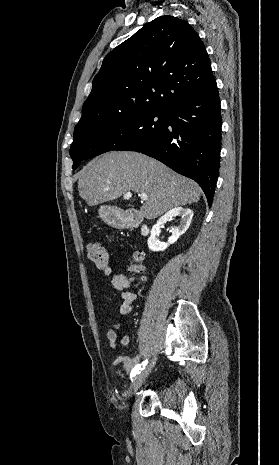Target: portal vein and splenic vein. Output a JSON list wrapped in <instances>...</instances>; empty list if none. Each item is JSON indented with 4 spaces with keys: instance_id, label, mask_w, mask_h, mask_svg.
<instances>
[{
    "instance_id": "1",
    "label": "portal vein and splenic vein",
    "mask_w": 279,
    "mask_h": 465,
    "mask_svg": "<svg viewBox=\"0 0 279 465\" xmlns=\"http://www.w3.org/2000/svg\"><path fill=\"white\" fill-rule=\"evenodd\" d=\"M126 197H128V198L131 197V193H126ZM140 197L144 201L148 199V196H147L146 193H141Z\"/></svg>"
}]
</instances>
